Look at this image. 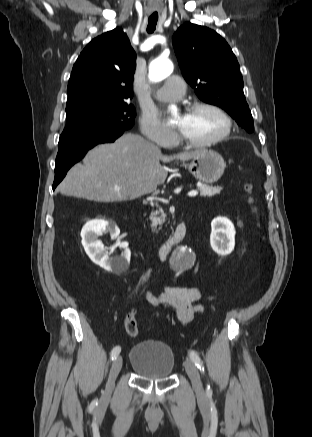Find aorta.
Returning <instances> with one entry per match:
<instances>
[{
  "mask_svg": "<svg viewBox=\"0 0 312 437\" xmlns=\"http://www.w3.org/2000/svg\"><path fill=\"white\" fill-rule=\"evenodd\" d=\"M173 72V64L168 59L158 58L149 65V79L152 82H160Z\"/></svg>",
  "mask_w": 312,
  "mask_h": 437,
  "instance_id": "obj_1",
  "label": "aorta"
}]
</instances>
